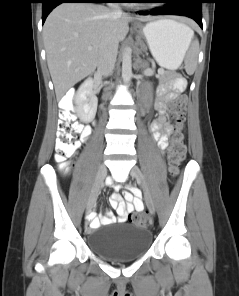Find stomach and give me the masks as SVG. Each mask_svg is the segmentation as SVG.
Here are the masks:
<instances>
[{
    "instance_id": "obj_1",
    "label": "stomach",
    "mask_w": 239,
    "mask_h": 296,
    "mask_svg": "<svg viewBox=\"0 0 239 296\" xmlns=\"http://www.w3.org/2000/svg\"><path fill=\"white\" fill-rule=\"evenodd\" d=\"M135 28L144 36L161 67L176 70L180 66L190 43L186 25L171 19H158Z\"/></svg>"
}]
</instances>
